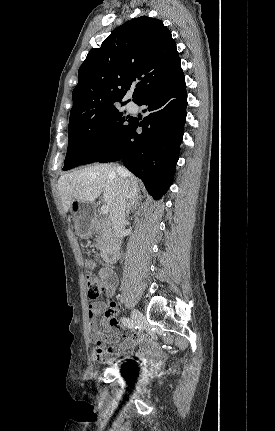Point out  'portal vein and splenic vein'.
Instances as JSON below:
<instances>
[{
  "mask_svg": "<svg viewBox=\"0 0 275 431\" xmlns=\"http://www.w3.org/2000/svg\"><path fill=\"white\" fill-rule=\"evenodd\" d=\"M101 212H102V214H108L109 213V207L107 205L101 206Z\"/></svg>",
  "mask_w": 275,
  "mask_h": 431,
  "instance_id": "18ae733b",
  "label": "portal vein and splenic vein"
}]
</instances>
